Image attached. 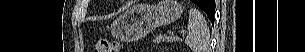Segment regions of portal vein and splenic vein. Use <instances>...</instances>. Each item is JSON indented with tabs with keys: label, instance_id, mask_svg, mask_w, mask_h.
<instances>
[{
	"label": "portal vein and splenic vein",
	"instance_id": "1",
	"mask_svg": "<svg viewBox=\"0 0 305 52\" xmlns=\"http://www.w3.org/2000/svg\"><path fill=\"white\" fill-rule=\"evenodd\" d=\"M180 33H181L182 35H185V34L187 33V31L182 30V31H180Z\"/></svg>",
	"mask_w": 305,
	"mask_h": 52
}]
</instances>
